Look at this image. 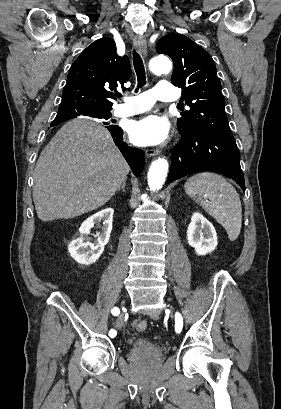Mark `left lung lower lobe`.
<instances>
[{
  "label": "left lung lower lobe",
  "instance_id": "left-lung-lower-lobe-1",
  "mask_svg": "<svg viewBox=\"0 0 281 409\" xmlns=\"http://www.w3.org/2000/svg\"><path fill=\"white\" fill-rule=\"evenodd\" d=\"M171 154L167 182L188 174L213 171L232 178L245 192L240 153L233 135L198 128L182 133Z\"/></svg>",
  "mask_w": 281,
  "mask_h": 409
}]
</instances>
